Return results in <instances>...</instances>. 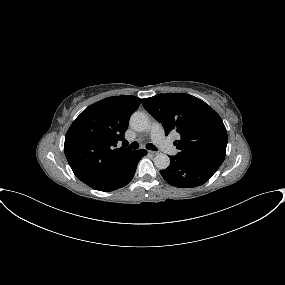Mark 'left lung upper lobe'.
<instances>
[{
    "instance_id": "5c2ea615",
    "label": "left lung upper lobe",
    "mask_w": 285,
    "mask_h": 285,
    "mask_svg": "<svg viewBox=\"0 0 285 285\" xmlns=\"http://www.w3.org/2000/svg\"><path fill=\"white\" fill-rule=\"evenodd\" d=\"M144 108L168 134L176 130L178 158L220 166L226 155L227 131L220 116L189 94H159L142 100Z\"/></svg>"
}]
</instances>
